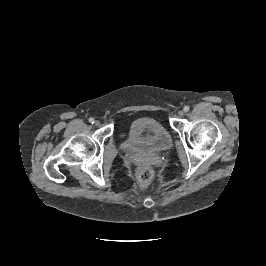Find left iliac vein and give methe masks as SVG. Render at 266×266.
I'll return each mask as SVG.
<instances>
[{
    "mask_svg": "<svg viewBox=\"0 0 266 266\" xmlns=\"http://www.w3.org/2000/svg\"><path fill=\"white\" fill-rule=\"evenodd\" d=\"M178 115H179V117H183V116H184V111L180 110V111L178 112Z\"/></svg>",
    "mask_w": 266,
    "mask_h": 266,
    "instance_id": "left-iliac-vein-1",
    "label": "left iliac vein"
}]
</instances>
